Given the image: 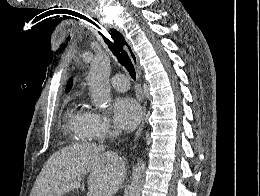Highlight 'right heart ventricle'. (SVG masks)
Instances as JSON below:
<instances>
[{
  "label": "right heart ventricle",
  "instance_id": "right-heart-ventricle-1",
  "mask_svg": "<svg viewBox=\"0 0 260 196\" xmlns=\"http://www.w3.org/2000/svg\"><path fill=\"white\" fill-rule=\"evenodd\" d=\"M88 111L80 104L71 110L68 115V123L74 129H85L86 128V117ZM79 143H92L90 139L82 138ZM50 192H61V190H50Z\"/></svg>",
  "mask_w": 260,
  "mask_h": 196
}]
</instances>
